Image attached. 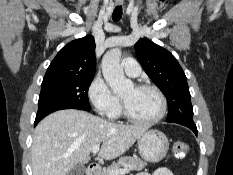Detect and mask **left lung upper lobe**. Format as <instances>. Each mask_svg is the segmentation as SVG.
Masks as SVG:
<instances>
[{"mask_svg":"<svg viewBox=\"0 0 233 175\" xmlns=\"http://www.w3.org/2000/svg\"><path fill=\"white\" fill-rule=\"evenodd\" d=\"M138 60L168 102L167 122L193 123V107L186 76L176 58L147 39L135 44Z\"/></svg>","mask_w":233,"mask_h":175,"instance_id":"obj_1","label":"left lung upper lobe"}]
</instances>
